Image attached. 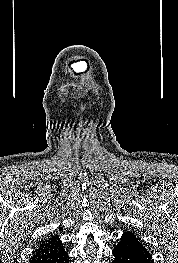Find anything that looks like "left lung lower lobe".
I'll list each match as a JSON object with an SVG mask.
<instances>
[{
  "label": "left lung lower lobe",
  "instance_id": "1",
  "mask_svg": "<svg viewBox=\"0 0 178 263\" xmlns=\"http://www.w3.org/2000/svg\"><path fill=\"white\" fill-rule=\"evenodd\" d=\"M112 263H154L145 246L131 232H125L113 249Z\"/></svg>",
  "mask_w": 178,
  "mask_h": 263
}]
</instances>
